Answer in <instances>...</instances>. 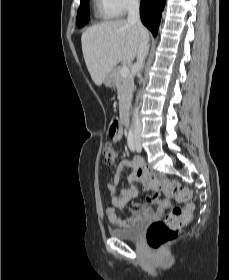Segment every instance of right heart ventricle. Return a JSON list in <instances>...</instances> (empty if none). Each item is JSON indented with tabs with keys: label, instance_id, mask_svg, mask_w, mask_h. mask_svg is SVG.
Instances as JSON below:
<instances>
[{
	"label": "right heart ventricle",
	"instance_id": "e07e8e85",
	"mask_svg": "<svg viewBox=\"0 0 229 280\" xmlns=\"http://www.w3.org/2000/svg\"><path fill=\"white\" fill-rule=\"evenodd\" d=\"M97 16L103 21H109L114 18V15L104 8L101 0H94Z\"/></svg>",
	"mask_w": 229,
	"mask_h": 280
}]
</instances>
